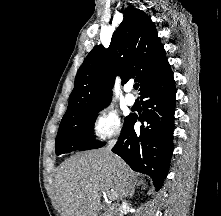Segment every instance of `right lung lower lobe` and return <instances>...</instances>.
Wrapping results in <instances>:
<instances>
[{
	"mask_svg": "<svg viewBox=\"0 0 221 216\" xmlns=\"http://www.w3.org/2000/svg\"><path fill=\"white\" fill-rule=\"evenodd\" d=\"M143 113L138 118L129 115L112 151L122 157L137 172L148 174L159 190L173 152L174 109L176 101L173 73L168 70L140 94ZM142 125L135 132L134 123Z\"/></svg>",
	"mask_w": 221,
	"mask_h": 216,
	"instance_id": "right-lung-lower-lobe-1",
	"label": "right lung lower lobe"
}]
</instances>
